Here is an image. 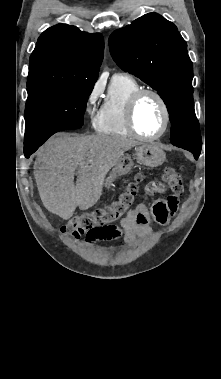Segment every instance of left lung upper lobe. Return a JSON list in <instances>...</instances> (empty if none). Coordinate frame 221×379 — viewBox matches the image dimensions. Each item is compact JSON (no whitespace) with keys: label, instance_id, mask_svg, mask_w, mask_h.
<instances>
[{"label":"left lung upper lobe","instance_id":"left-lung-upper-lobe-1","mask_svg":"<svg viewBox=\"0 0 221 379\" xmlns=\"http://www.w3.org/2000/svg\"><path fill=\"white\" fill-rule=\"evenodd\" d=\"M108 43L117 65L150 85L163 99L172 123L171 143L200 155L193 65L177 27L157 13H148L114 31Z\"/></svg>","mask_w":221,"mask_h":379}]
</instances>
